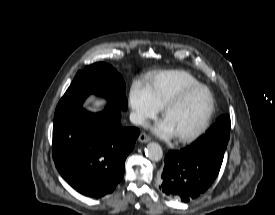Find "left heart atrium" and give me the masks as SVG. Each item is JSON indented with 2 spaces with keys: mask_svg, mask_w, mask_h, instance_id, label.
Instances as JSON below:
<instances>
[{
  "mask_svg": "<svg viewBox=\"0 0 275 215\" xmlns=\"http://www.w3.org/2000/svg\"><path fill=\"white\" fill-rule=\"evenodd\" d=\"M155 132L162 137H171L174 135L171 127L165 120L155 127Z\"/></svg>",
  "mask_w": 275,
  "mask_h": 215,
  "instance_id": "left-heart-atrium-1",
  "label": "left heart atrium"
}]
</instances>
